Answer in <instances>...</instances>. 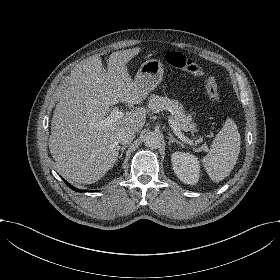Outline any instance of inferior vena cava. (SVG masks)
I'll use <instances>...</instances> for the list:
<instances>
[{
	"mask_svg": "<svg viewBox=\"0 0 280 280\" xmlns=\"http://www.w3.org/2000/svg\"><path fill=\"white\" fill-rule=\"evenodd\" d=\"M119 142L123 145L130 144L135 138V131L127 129L116 133Z\"/></svg>",
	"mask_w": 280,
	"mask_h": 280,
	"instance_id": "1",
	"label": "inferior vena cava"
}]
</instances>
